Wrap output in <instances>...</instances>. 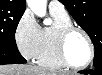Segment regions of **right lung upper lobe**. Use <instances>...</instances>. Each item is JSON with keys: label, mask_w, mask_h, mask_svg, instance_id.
I'll use <instances>...</instances> for the list:
<instances>
[{"label": "right lung upper lobe", "mask_w": 102, "mask_h": 75, "mask_svg": "<svg viewBox=\"0 0 102 75\" xmlns=\"http://www.w3.org/2000/svg\"><path fill=\"white\" fill-rule=\"evenodd\" d=\"M25 0H0V8L13 10H25Z\"/></svg>", "instance_id": "1"}]
</instances>
